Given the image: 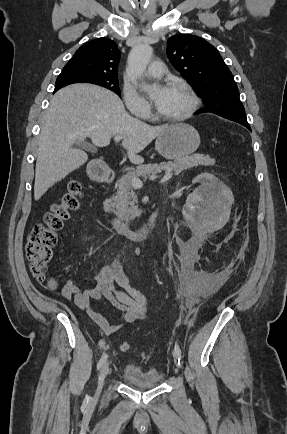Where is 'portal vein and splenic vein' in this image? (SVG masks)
I'll list each match as a JSON object with an SVG mask.
<instances>
[{
  "mask_svg": "<svg viewBox=\"0 0 287 434\" xmlns=\"http://www.w3.org/2000/svg\"><path fill=\"white\" fill-rule=\"evenodd\" d=\"M121 139H122L121 136H119V135H116V136H115V141H116V142H119ZM171 177H172V171H171V170H168V171H166L165 175L162 177V179L160 180L159 183H165V182H167ZM131 184H132V186H133L134 188H141V187L143 186V182H142L140 179H138L137 177H133V178L131 179Z\"/></svg>",
  "mask_w": 287,
  "mask_h": 434,
  "instance_id": "portal-vein-and-splenic-vein-1",
  "label": "portal vein and splenic vein"
}]
</instances>
